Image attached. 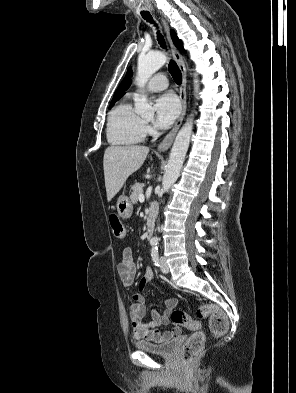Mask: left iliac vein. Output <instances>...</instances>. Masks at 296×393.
Segmentation results:
<instances>
[{"instance_id": "left-iliac-vein-1", "label": "left iliac vein", "mask_w": 296, "mask_h": 393, "mask_svg": "<svg viewBox=\"0 0 296 393\" xmlns=\"http://www.w3.org/2000/svg\"><path fill=\"white\" fill-rule=\"evenodd\" d=\"M160 269L163 273H168L169 272V267L166 262V259L164 257L160 258Z\"/></svg>"}]
</instances>
